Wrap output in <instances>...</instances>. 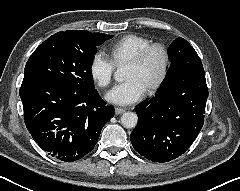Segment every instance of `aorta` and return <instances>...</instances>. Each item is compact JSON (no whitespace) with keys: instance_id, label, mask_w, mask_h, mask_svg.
<instances>
[{"instance_id":"762f6f07","label":"aorta","mask_w":240,"mask_h":191,"mask_svg":"<svg viewBox=\"0 0 240 191\" xmlns=\"http://www.w3.org/2000/svg\"><path fill=\"white\" fill-rule=\"evenodd\" d=\"M114 78L118 82H122L124 80V72H123V68L122 67H118L117 68V70L114 73ZM137 122H138V116L134 112H125L121 116V124L125 128H129V129L130 128H134V127H136Z\"/></svg>"}]
</instances>
